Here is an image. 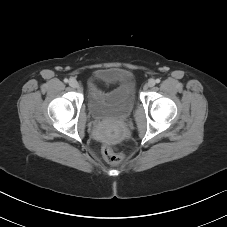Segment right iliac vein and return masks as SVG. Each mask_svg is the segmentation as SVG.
<instances>
[{
    "instance_id": "right-iliac-vein-1",
    "label": "right iliac vein",
    "mask_w": 227,
    "mask_h": 227,
    "mask_svg": "<svg viewBox=\"0 0 227 227\" xmlns=\"http://www.w3.org/2000/svg\"><path fill=\"white\" fill-rule=\"evenodd\" d=\"M69 85H70L72 88H78V86H79L77 80L74 79V78H71V79L69 80Z\"/></svg>"
}]
</instances>
